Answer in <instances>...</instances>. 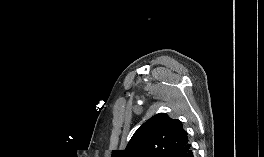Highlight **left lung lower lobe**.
Masks as SVG:
<instances>
[{"instance_id":"left-lung-lower-lobe-1","label":"left lung lower lobe","mask_w":264,"mask_h":157,"mask_svg":"<svg viewBox=\"0 0 264 157\" xmlns=\"http://www.w3.org/2000/svg\"><path fill=\"white\" fill-rule=\"evenodd\" d=\"M190 157H195L194 153H192Z\"/></svg>"}]
</instances>
